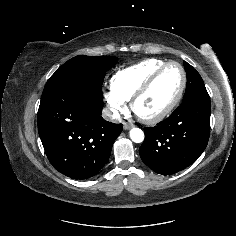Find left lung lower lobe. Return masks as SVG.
Masks as SVG:
<instances>
[{"mask_svg": "<svg viewBox=\"0 0 236 236\" xmlns=\"http://www.w3.org/2000/svg\"><path fill=\"white\" fill-rule=\"evenodd\" d=\"M210 97L201 94L183 103L165 120L144 128L139 148L142 161L153 171L171 175L191 165L205 150L210 136Z\"/></svg>", "mask_w": 236, "mask_h": 236, "instance_id": "left-lung-lower-lobe-1", "label": "left lung lower lobe"}]
</instances>
